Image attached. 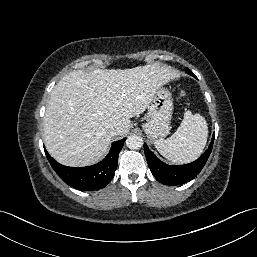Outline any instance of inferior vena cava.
Instances as JSON below:
<instances>
[{"mask_svg": "<svg viewBox=\"0 0 257 257\" xmlns=\"http://www.w3.org/2000/svg\"><path fill=\"white\" fill-rule=\"evenodd\" d=\"M119 133V130L117 128H112L110 131H109V134L111 136H115V135H118Z\"/></svg>", "mask_w": 257, "mask_h": 257, "instance_id": "obj_1", "label": "inferior vena cava"}]
</instances>
